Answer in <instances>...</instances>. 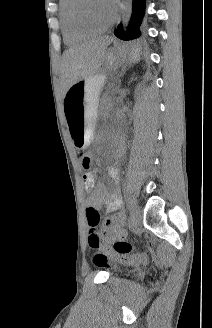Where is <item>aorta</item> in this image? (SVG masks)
I'll return each mask as SVG.
<instances>
[{
  "mask_svg": "<svg viewBox=\"0 0 212 328\" xmlns=\"http://www.w3.org/2000/svg\"><path fill=\"white\" fill-rule=\"evenodd\" d=\"M120 9H121L123 29L126 30L131 18L132 0H122Z\"/></svg>",
  "mask_w": 212,
  "mask_h": 328,
  "instance_id": "1",
  "label": "aorta"
}]
</instances>
